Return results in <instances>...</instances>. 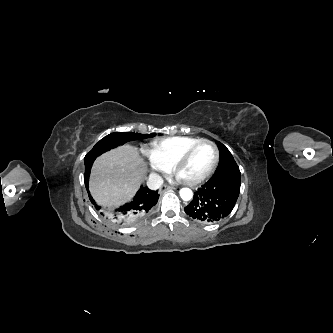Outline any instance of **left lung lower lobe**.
<instances>
[{
	"label": "left lung lower lobe",
	"mask_w": 333,
	"mask_h": 333,
	"mask_svg": "<svg viewBox=\"0 0 333 333\" xmlns=\"http://www.w3.org/2000/svg\"><path fill=\"white\" fill-rule=\"evenodd\" d=\"M241 174L238 166L215 173L200 187L185 212L203 223H214L233 210L239 196Z\"/></svg>",
	"instance_id": "0a47b994"
}]
</instances>
